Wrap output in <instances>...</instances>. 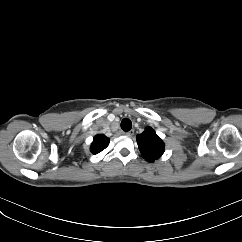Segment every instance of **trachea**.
Returning a JSON list of instances; mask_svg holds the SVG:
<instances>
[{"label":"trachea","instance_id":"1","mask_svg":"<svg viewBox=\"0 0 242 242\" xmlns=\"http://www.w3.org/2000/svg\"><path fill=\"white\" fill-rule=\"evenodd\" d=\"M121 128L125 132L129 131L132 128V122L128 118H124L121 121Z\"/></svg>","mask_w":242,"mask_h":242}]
</instances>
